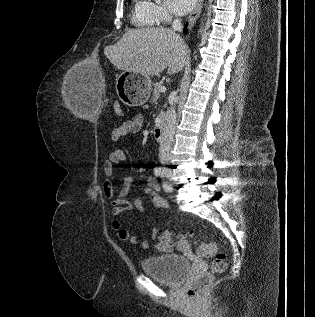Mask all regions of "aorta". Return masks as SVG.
I'll list each match as a JSON object with an SVG mask.
<instances>
[{
    "label": "aorta",
    "instance_id": "obj_1",
    "mask_svg": "<svg viewBox=\"0 0 315 317\" xmlns=\"http://www.w3.org/2000/svg\"><path fill=\"white\" fill-rule=\"evenodd\" d=\"M156 2L160 1V0H155ZM200 32H202V27L200 28Z\"/></svg>",
    "mask_w": 315,
    "mask_h": 317
}]
</instances>
